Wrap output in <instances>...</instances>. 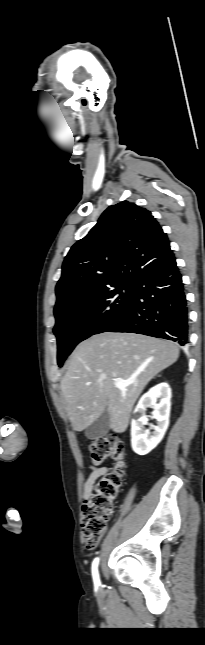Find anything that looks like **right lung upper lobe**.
<instances>
[{"instance_id": "obj_1", "label": "right lung upper lobe", "mask_w": 205, "mask_h": 645, "mask_svg": "<svg viewBox=\"0 0 205 645\" xmlns=\"http://www.w3.org/2000/svg\"><path fill=\"white\" fill-rule=\"evenodd\" d=\"M174 258L167 235L150 211L127 201L110 206L65 257L54 313L82 297L135 284Z\"/></svg>"}]
</instances>
